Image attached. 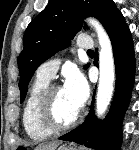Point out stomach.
Wrapping results in <instances>:
<instances>
[{"mask_svg": "<svg viewBox=\"0 0 139 150\" xmlns=\"http://www.w3.org/2000/svg\"><path fill=\"white\" fill-rule=\"evenodd\" d=\"M58 150H78V149H76V148H74L72 146H65V145H63Z\"/></svg>", "mask_w": 139, "mask_h": 150, "instance_id": "0dacf381", "label": "stomach"}]
</instances>
